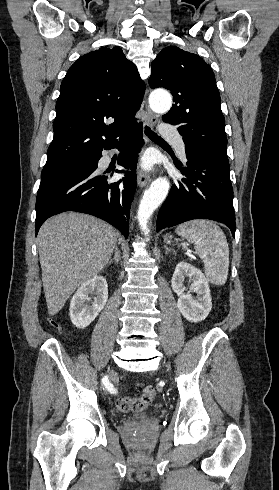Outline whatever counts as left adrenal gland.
Wrapping results in <instances>:
<instances>
[{
  "mask_svg": "<svg viewBox=\"0 0 279 490\" xmlns=\"http://www.w3.org/2000/svg\"><path fill=\"white\" fill-rule=\"evenodd\" d=\"M166 252L165 254H169V252H173V254H176L175 250H171V248H168V246H164Z\"/></svg>",
  "mask_w": 279,
  "mask_h": 490,
  "instance_id": "1",
  "label": "left adrenal gland"
}]
</instances>
